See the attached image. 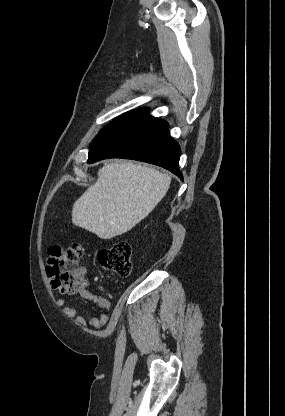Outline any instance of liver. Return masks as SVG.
I'll return each mask as SVG.
<instances>
[{
  "instance_id": "liver-1",
  "label": "liver",
  "mask_w": 285,
  "mask_h": 416,
  "mask_svg": "<svg viewBox=\"0 0 285 416\" xmlns=\"http://www.w3.org/2000/svg\"><path fill=\"white\" fill-rule=\"evenodd\" d=\"M171 178L154 168L132 162L105 164L98 180L72 208V222L78 228L110 240L132 230L161 202Z\"/></svg>"
}]
</instances>
